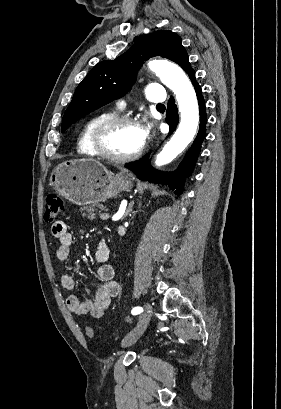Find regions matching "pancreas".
I'll return each mask as SVG.
<instances>
[{
    "label": "pancreas",
    "mask_w": 281,
    "mask_h": 409,
    "mask_svg": "<svg viewBox=\"0 0 281 409\" xmlns=\"http://www.w3.org/2000/svg\"><path fill=\"white\" fill-rule=\"evenodd\" d=\"M98 209H101V211H106V207H103V205H98ZM80 211H87L88 213V215H86V213H83L82 217H88V219H95L93 207H83V209H80ZM104 221H106V219Z\"/></svg>",
    "instance_id": "1"
}]
</instances>
